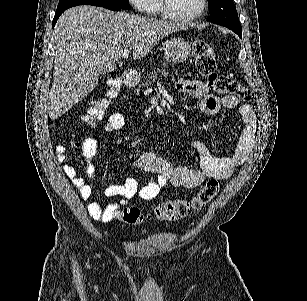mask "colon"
Segmentation results:
<instances>
[{
    "label": "colon",
    "mask_w": 307,
    "mask_h": 301,
    "mask_svg": "<svg viewBox=\"0 0 307 301\" xmlns=\"http://www.w3.org/2000/svg\"><path fill=\"white\" fill-rule=\"evenodd\" d=\"M193 56L197 70L206 78L209 86L217 93L232 95L242 102L253 99L252 91L234 80L228 75L216 71L215 53L210 44L204 40H197L193 44ZM121 88L120 80L114 79L107 83L106 97L92 101L88 106L83 120L94 127L104 118L105 109L109 99L118 95ZM219 191V183L216 179H209L200 191L190 199H174L159 203L153 212L144 214L137 207H126L116 212V215L124 223L137 225L145 220L155 218L160 221H175L186 217L192 211L205 207Z\"/></svg>",
    "instance_id": "obj_1"
}]
</instances>
